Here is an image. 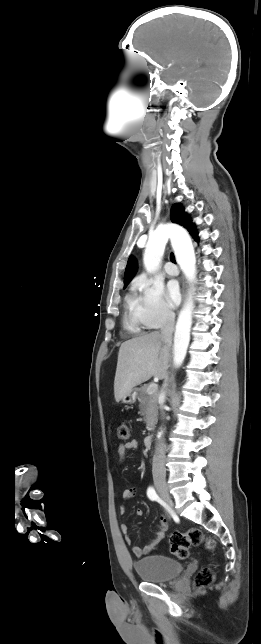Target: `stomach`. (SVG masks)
Segmentation results:
<instances>
[{
	"mask_svg": "<svg viewBox=\"0 0 261 644\" xmlns=\"http://www.w3.org/2000/svg\"><path fill=\"white\" fill-rule=\"evenodd\" d=\"M137 396H138V390L137 389L132 390L122 398V402L125 404H133L135 403Z\"/></svg>",
	"mask_w": 261,
	"mask_h": 644,
	"instance_id": "stomach-1",
	"label": "stomach"
}]
</instances>
